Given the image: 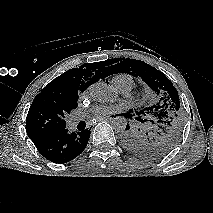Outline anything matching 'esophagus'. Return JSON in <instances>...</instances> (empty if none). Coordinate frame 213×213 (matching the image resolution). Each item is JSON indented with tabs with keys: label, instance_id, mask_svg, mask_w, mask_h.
<instances>
[{
	"label": "esophagus",
	"instance_id": "34e87169",
	"mask_svg": "<svg viewBox=\"0 0 213 213\" xmlns=\"http://www.w3.org/2000/svg\"><path fill=\"white\" fill-rule=\"evenodd\" d=\"M112 119H114L113 117H111V116H107V117H99V118H97V121H102V120H112Z\"/></svg>",
	"mask_w": 213,
	"mask_h": 213
}]
</instances>
